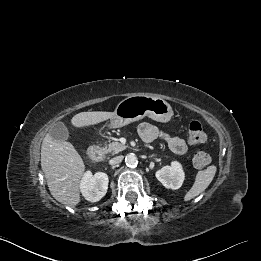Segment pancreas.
<instances>
[{
    "mask_svg": "<svg viewBox=\"0 0 261 261\" xmlns=\"http://www.w3.org/2000/svg\"><path fill=\"white\" fill-rule=\"evenodd\" d=\"M126 148H127L126 145H123L119 142H112L108 146L104 147V152L111 153L112 155H114L125 150Z\"/></svg>",
    "mask_w": 261,
    "mask_h": 261,
    "instance_id": "1",
    "label": "pancreas"
}]
</instances>
